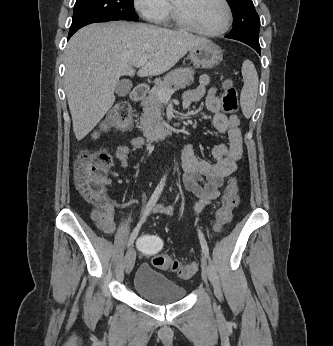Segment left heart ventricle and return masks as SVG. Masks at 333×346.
<instances>
[{
  "label": "left heart ventricle",
  "instance_id": "b2bd125f",
  "mask_svg": "<svg viewBox=\"0 0 333 346\" xmlns=\"http://www.w3.org/2000/svg\"><path fill=\"white\" fill-rule=\"evenodd\" d=\"M182 14L195 26L206 31L220 29L226 12L220 0H173Z\"/></svg>",
  "mask_w": 333,
  "mask_h": 346
}]
</instances>
